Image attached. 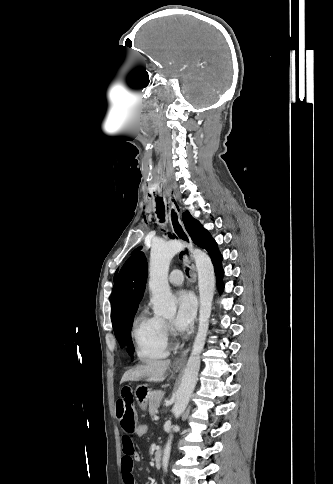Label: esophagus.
Listing matches in <instances>:
<instances>
[{
    "instance_id": "obj_1",
    "label": "esophagus",
    "mask_w": 333,
    "mask_h": 484,
    "mask_svg": "<svg viewBox=\"0 0 333 484\" xmlns=\"http://www.w3.org/2000/svg\"><path fill=\"white\" fill-rule=\"evenodd\" d=\"M168 218H169V222H170L172 232L174 233V235L181 242H183L184 244H186L187 246L190 247L192 245V243H191V239H190L188 233L186 232L185 227H184L183 222H182V211L175 205V203L172 201L171 197H169ZM183 257L185 259L193 260L189 250L183 255ZM193 268L195 270L194 264H193ZM193 277L194 278L196 277L195 272L193 273ZM189 350H190V348L186 349L178 358L175 359V361L173 363L174 366H176V367L184 366V364L186 363V360H187Z\"/></svg>"
}]
</instances>
